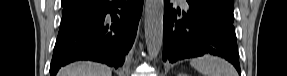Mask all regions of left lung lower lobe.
Segmentation results:
<instances>
[{
    "instance_id": "left-lung-lower-lobe-1",
    "label": "left lung lower lobe",
    "mask_w": 287,
    "mask_h": 76,
    "mask_svg": "<svg viewBox=\"0 0 287 76\" xmlns=\"http://www.w3.org/2000/svg\"><path fill=\"white\" fill-rule=\"evenodd\" d=\"M187 3L188 11L181 13L164 0L163 60L174 63L209 53L225 58L241 74L232 22L190 0Z\"/></svg>"
}]
</instances>
